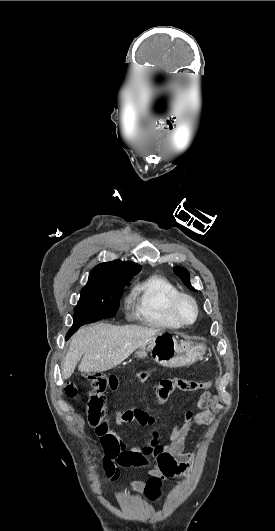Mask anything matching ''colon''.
<instances>
[{"mask_svg": "<svg viewBox=\"0 0 275 531\" xmlns=\"http://www.w3.org/2000/svg\"><path fill=\"white\" fill-rule=\"evenodd\" d=\"M108 377L115 376L105 375L100 377L95 373H87L76 377L73 385L70 384L65 387V392L70 397H74L78 391L83 395L90 394L92 396L87 404L88 410L85 413L86 420L92 426H97L96 423H103L110 408L109 398L105 395V393H111L107 392L106 389ZM209 387V383L203 380H192L183 377L163 378L158 381L156 391H152L151 400L162 404L167 402L175 392H205ZM149 482L145 486L144 494L151 501H154L156 496L160 494L159 489L162 488L163 483L157 475H151Z\"/></svg>", "mask_w": 275, "mask_h": 531, "instance_id": "obj_1", "label": "colon"}]
</instances>
